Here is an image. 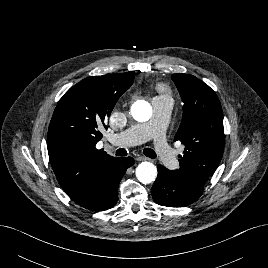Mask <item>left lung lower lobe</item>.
I'll use <instances>...</instances> for the list:
<instances>
[{"label": "left lung lower lobe", "mask_w": 268, "mask_h": 268, "mask_svg": "<svg viewBox=\"0 0 268 268\" xmlns=\"http://www.w3.org/2000/svg\"><path fill=\"white\" fill-rule=\"evenodd\" d=\"M203 190L186 183L182 178L158 165V176L152 187L155 203L167 207H184L195 202Z\"/></svg>", "instance_id": "1"}]
</instances>
